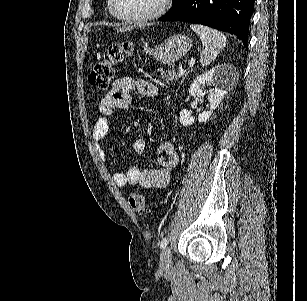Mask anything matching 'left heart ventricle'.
<instances>
[{"mask_svg":"<svg viewBox=\"0 0 307 301\" xmlns=\"http://www.w3.org/2000/svg\"><path fill=\"white\" fill-rule=\"evenodd\" d=\"M162 1L163 0H116L120 6L115 10V13H123L124 11H131L132 13L157 11Z\"/></svg>","mask_w":307,"mask_h":301,"instance_id":"b2bd125f","label":"left heart ventricle"}]
</instances>
